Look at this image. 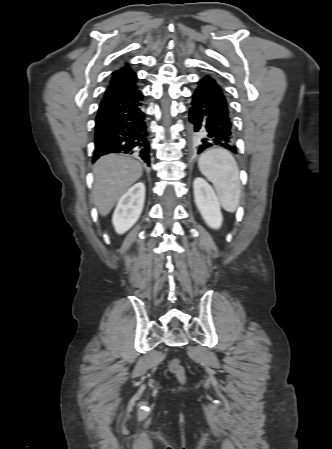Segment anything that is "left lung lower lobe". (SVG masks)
I'll return each mask as SVG.
<instances>
[{"label":"left lung lower lobe","mask_w":332,"mask_h":449,"mask_svg":"<svg viewBox=\"0 0 332 449\" xmlns=\"http://www.w3.org/2000/svg\"><path fill=\"white\" fill-rule=\"evenodd\" d=\"M188 134L193 153L200 154L210 147H223L237 152L225 91L210 75L202 77L193 92Z\"/></svg>","instance_id":"1"}]
</instances>
